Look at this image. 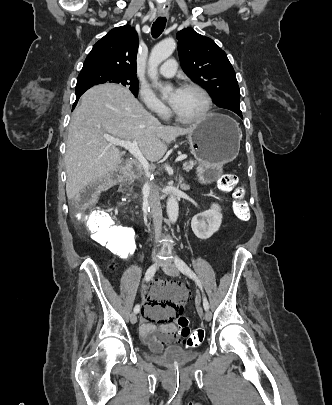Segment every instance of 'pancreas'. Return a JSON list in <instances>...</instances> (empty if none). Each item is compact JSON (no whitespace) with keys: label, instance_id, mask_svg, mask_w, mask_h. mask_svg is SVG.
Instances as JSON below:
<instances>
[{"label":"pancreas","instance_id":"1","mask_svg":"<svg viewBox=\"0 0 332 405\" xmlns=\"http://www.w3.org/2000/svg\"><path fill=\"white\" fill-rule=\"evenodd\" d=\"M184 165H185V168L190 169L195 165V163L193 161H190V162L184 163Z\"/></svg>","mask_w":332,"mask_h":405}]
</instances>
